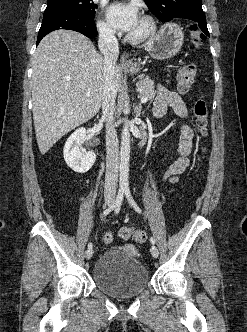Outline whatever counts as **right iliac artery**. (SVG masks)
Wrapping results in <instances>:
<instances>
[{"mask_svg": "<svg viewBox=\"0 0 247 332\" xmlns=\"http://www.w3.org/2000/svg\"><path fill=\"white\" fill-rule=\"evenodd\" d=\"M123 198H124V191L120 190L117 194V197H116L114 203L103 212V216H107L113 210L118 211L120 209L121 204H122ZM92 246L93 245L90 242L88 244V249H91Z\"/></svg>", "mask_w": 247, "mask_h": 332, "instance_id": "82829eb1", "label": "right iliac artery"}]
</instances>
